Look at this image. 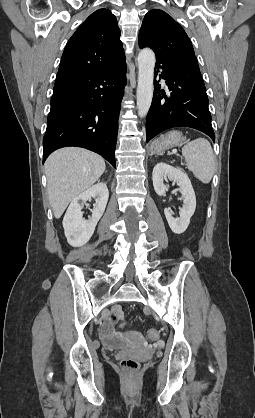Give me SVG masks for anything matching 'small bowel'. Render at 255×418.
<instances>
[{"label":"small bowel","mask_w":255,"mask_h":418,"mask_svg":"<svg viewBox=\"0 0 255 418\" xmlns=\"http://www.w3.org/2000/svg\"><path fill=\"white\" fill-rule=\"evenodd\" d=\"M122 319H123V313L121 311L120 306H115L113 309L112 316H111V321H117V320H122ZM102 335H103V339L109 344L114 343L118 338V334L114 331V329L112 328L110 324L104 327Z\"/></svg>","instance_id":"c3829d8e"}]
</instances>
